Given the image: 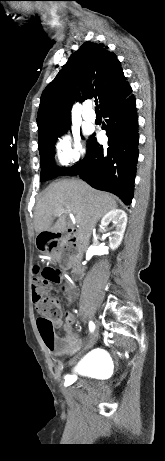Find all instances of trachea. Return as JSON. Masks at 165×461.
<instances>
[{
  "instance_id": "trachea-1",
  "label": "trachea",
  "mask_w": 165,
  "mask_h": 461,
  "mask_svg": "<svg viewBox=\"0 0 165 461\" xmlns=\"http://www.w3.org/2000/svg\"><path fill=\"white\" fill-rule=\"evenodd\" d=\"M95 105L98 106V100H95Z\"/></svg>"
}]
</instances>
